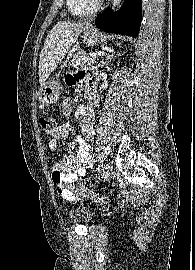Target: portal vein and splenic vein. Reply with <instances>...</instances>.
<instances>
[{
	"instance_id": "18ae733b",
	"label": "portal vein and splenic vein",
	"mask_w": 195,
	"mask_h": 270,
	"mask_svg": "<svg viewBox=\"0 0 195 270\" xmlns=\"http://www.w3.org/2000/svg\"><path fill=\"white\" fill-rule=\"evenodd\" d=\"M105 53L104 52H93V53H90L89 55L91 57H97V56H103Z\"/></svg>"
}]
</instances>
